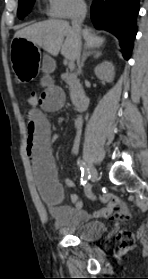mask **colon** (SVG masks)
Here are the masks:
<instances>
[{"label":"colon","instance_id":"5ec220e1","mask_svg":"<svg viewBox=\"0 0 148 279\" xmlns=\"http://www.w3.org/2000/svg\"><path fill=\"white\" fill-rule=\"evenodd\" d=\"M26 102L30 107H34L38 102V96L31 92L26 96ZM113 218H129L127 206L124 203H118L112 210ZM134 244L133 236L128 232H121L117 236V248L119 252L130 249Z\"/></svg>","mask_w":148,"mask_h":279}]
</instances>
